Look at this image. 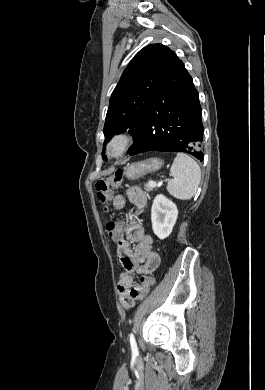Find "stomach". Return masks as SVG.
Masks as SVG:
<instances>
[{
    "instance_id": "obj_1",
    "label": "stomach",
    "mask_w": 265,
    "mask_h": 390,
    "mask_svg": "<svg viewBox=\"0 0 265 390\" xmlns=\"http://www.w3.org/2000/svg\"><path fill=\"white\" fill-rule=\"evenodd\" d=\"M163 165V161L158 158H150L141 162L130 164L124 168L125 176L134 180L147 173L159 170Z\"/></svg>"
}]
</instances>
